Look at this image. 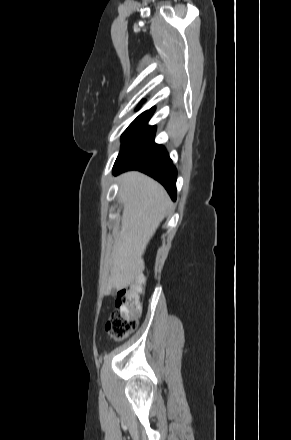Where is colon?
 Instances as JSON below:
<instances>
[{
  "mask_svg": "<svg viewBox=\"0 0 291 440\" xmlns=\"http://www.w3.org/2000/svg\"><path fill=\"white\" fill-rule=\"evenodd\" d=\"M143 284V278H140L117 292L116 309L110 313L106 322V331L115 340H124L136 329L141 312Z\"/></svg>",
  "mask_w": 291,
  "mask_h": 440,
  "instance_id": "1",
  "label": "colon"
}]
</instances>
